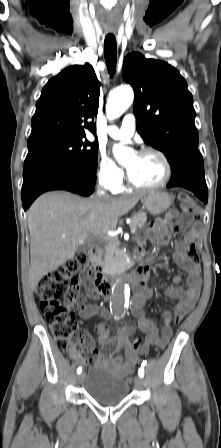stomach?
<instances>
[{
	"instance_id": "obj_1",
	"label": "stomach",
	"mask_w": 221,
	"mask_h": 448,
	"mask_svg": "<svg viewBox=\"0 0 221 448\" xmlns=\"http://www.w3.org/2000/svg\"><path fill=\"white\" fill-rule=\"evenodd\" d=\"M144 208L153 215L164 213L173 203L172 196L163 191H151L142 197Z\"/></svg>"
}]
</instances>
